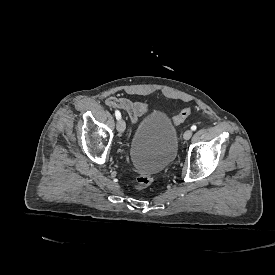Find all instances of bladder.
Wrapping results in <instances>:
<instances>
[{"mask_svg":"<svg viewBox=\"0 0 275 275\" xmlns=\"http://www.w3.org/2000/svg\"><path fill=\"white\" fill-rule=\"evenodd\" d=\"M177 152L175 126L167 112L155 106L133 131L131 161L141 173H158L172 163Z\"/></svg>","mask_w":275,"mask_h":275,"instance_id":"obj_1","label":"bladder"}]
</instances>
